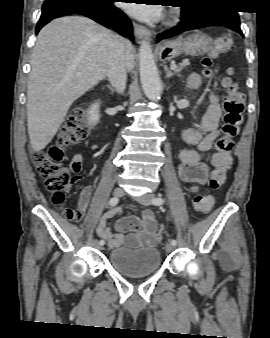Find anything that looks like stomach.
Returning a JSON list of instances; mask_svg holds the SVG:
<instances>
[{
	"instance_id": "stomach-1",
	"label": "stomach",
	"mask_w": 270,
	"mask_h": 338,
	"mask_svg": "<svg viewBox=\"0 0 270 338\" xmlns=\"http://www.w3.org/2000/svg\"><path fill=\"white\" fill-rule=\"evenodd\" d=\"M211 39L201 33H191L165 41L158 48V55L162 61L171 60L181 54L200 56L210 50Z\"/></svg>"
}]
</instances>
